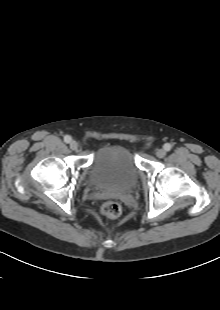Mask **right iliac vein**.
Returning a JSON list of instances; mask_svg holds the SVG:
<instances>
[{
    "instance_id": "obj_1",
    "label": "right iliac vein",
    "mask_w": 220,
    "mask_h": 310,
    "mask_svg": "<svg viewBox=\"0 0 220 310\" xmlns=\"http://www.w3.org/2000/svg\"><path fill=\"white\" fill-rule=\"evenodd\" d=\"M70 148H71L72 150H78L79 145H78V143H77L76 141H71V142H70Z\"/></svg>"
}]
</instances>
